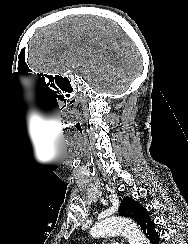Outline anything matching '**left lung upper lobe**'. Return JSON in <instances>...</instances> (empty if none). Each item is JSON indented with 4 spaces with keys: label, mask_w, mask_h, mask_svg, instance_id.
Wrapping results in <instances>:
<instances>
[{
    "label": "left lung upper lobe",
    "mask_w": 188,
    "mask_h": 244,
    "mask_svg": "<svg viewBox=\"0 0 188 244\" xmlns=\"http://www.w3.org/2000/svg\"><path fill=\"white\" fill-rule=\"evenodd\" d=\"M119 213L140 225L144 215L148 213V211L134 199L125 197L120 204Z\"/></svg>",
    "instance_id": "left-lung-upper-lobe-1"
}]
</instances>
